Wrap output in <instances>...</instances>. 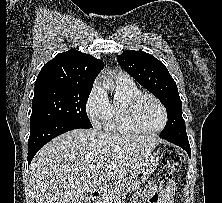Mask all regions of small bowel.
I'll list each match as a JSON object with an SVG mask.
<instances>
[{
    "label": "small bowel",
    "instance_id": "1",
    "mask_svg": "<svg viewBox=\"0 0 222 203\" xmlns=\"http://www.w3.org/2000/svg\"><path fill=\"white\" fill-rule=\"evenodd\" d=\"M175 184L170 182L162 186L160 182H151L142 190L134 203H171Z\"/></svg>",
    "mask_w": 222,
    "mask_h": 203
}]
</instances>
